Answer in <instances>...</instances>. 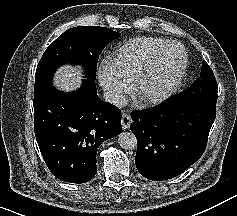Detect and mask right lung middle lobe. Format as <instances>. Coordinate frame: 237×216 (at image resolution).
I'll list each match as a JSON object with an SVG mask.
<instances>
[{"mask_svg":"<svg viewBox=\"0 0 237 216\" xmlns=\"http://www.w3.org/2000/svg\"><path fill=\"white\" fill-rule=\"evenodd\" d=\"M120 33L105 27H74L65 31L49 45L35 73L34 97L52 87L55 70L64 64H79L88 80L95 81L97 62L103 48Z\"/></svg>","mask_w":237,"mask_h":216,"instance_id":"obj_1","label":"right lung middle lobe"}]
</instances>
